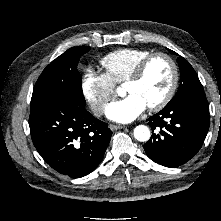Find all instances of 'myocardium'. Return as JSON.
Here are the masks:
<instances>
[{"instance_id": "f54148a6", "label": "myocardium", "mask_w": 221, "mask_h": 221, "mask_svg": "<svg viewBox=\"0 0 221 221\" xmlns=\"http://www.w3.org/2000/svg\"><path fill=\"white\" fill-rule=\"evenodd\" d=\"M158 57H162L169 62L171 69H172V79H171V83L166 94L158 102L148 106V109L150 111H159L162 108H164L172 100V98L174 97L176 93L178 82H179V69L173 57L165 52L151 53L150 55L146 56L137 64L132 74L126 80V84L139 81L143 77L146 71V68L150 64V62Z\"/></svg>"}]
</instances>
